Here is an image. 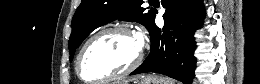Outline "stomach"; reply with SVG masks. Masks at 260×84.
I'll use <instances>...</instances> for the list:
<instances>
[{
	"label": "stomach",
	"mask_w": 260,
	"mask_h": 84,
	"mask_svg": "<svg viewBox=\"0 0 260 84\" xmlns=\"http://www.w3.org/2000/svg\"><path fill=\"white\" fill-rule=\"evenodd\" d=\"M133 84H172V81L159 75H146L134 81Z\"/></svg>",
	"instance_id": "1"
}]
</instances>
